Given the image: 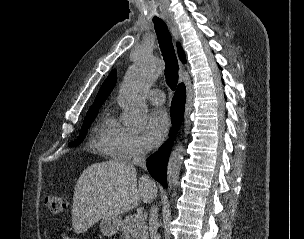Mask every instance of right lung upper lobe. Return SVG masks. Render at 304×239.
Returning <instances> with one entry per match:
<instances>
[{
  "label": "right lung upper lobe",
  "instance_id": "cb5924a9",
  "mask_svg": "<svg viewBox=\"0 0 304 239\" xmlns=\"http://www.w3.org/2000/svg\"><path fill=\"white\" fill-rule=\"evenodd\" d=\"M177 48H178L179 58L181 59L182 62L185 63L186 62L185 53L182 50L180 44H177ZM115 83H116V70L114 69L111 71L109 76L102 84L91 108L101 107V105L104 103V101L107 99V97L110 95L111 91L113 90Z\"/></svg>",
  "mask_w": 304,
  "mask_h": 239
}]
</instances>
